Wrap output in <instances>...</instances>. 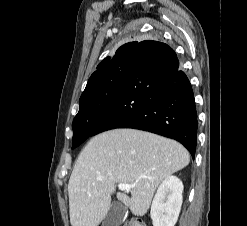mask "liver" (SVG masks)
Listing matches in <instances>:
<instances>
[{
  "label": "liver",
  "instance_id": "1",
  "mask_svg": "<svg viewBox=\"0 0 247 226\" xmlns=\"http://www.w3.org/2000/svg\"><path fill=\"white\" fill-rule=\"evenodd\" d=\"M190 162L180 143L135 129H113L93 137L81 151L68 184L72 226H98L111 207L116 184L133 185L117 199L136 216L147 213L166 177Z\"/></svg>",
  "mask_w": 247,
  "mask_h": 226
}]
</instances>
